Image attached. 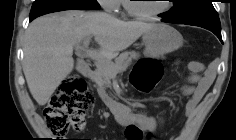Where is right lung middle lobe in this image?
<instances>
[{
	"label": "right lung middle lobe",
	"instance_id": "right-lung-middle-lobe-1",
	"mask_svg": "<svg viewBox=\"0 0 236 140\" xmlns=\"http://www.w3.org/2000/svg\"><path fill=\"white\" fill-rule=\"evenodd\" d=\"M99 8L100 5L96 0H35L30 17L36 18L47 13L70 9L92 10Z\"/></svg>",
	"mask_w": 236,
	"mask_h": 140
}]
</instances>
